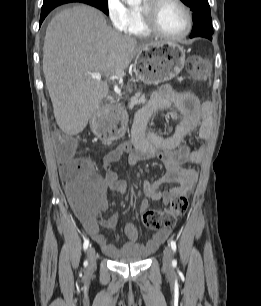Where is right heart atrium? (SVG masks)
<instances>
[{"instance_id":"obj_1","label":"right heart atrium","mask_w":261,"mask_h":306,"mask_svg":"<svg viewBox=\"0 0 261 306\" xmlns=\"http://www.w3.org/2000/svg\"><path fill=\"white\" fill-rule=\"evenodd\" d=\"M106 11L114 29L124 31L128 20V11L124 1L106 0Z\"/></svg>"}]
</instances>
